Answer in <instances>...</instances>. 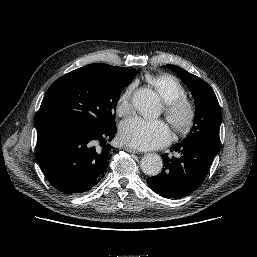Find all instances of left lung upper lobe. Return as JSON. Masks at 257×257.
<instances>
[{"instance_id":"1","label":"left lung upper lobe","mask_w":257,"mask_h":257,"mask_svg":"<svg viewBox=\"0 0 257 257\" xmlns=\"http://www.w3.org/2000/svg\"><path fill=\"white\" fill-rule=\"evenodd\" d=\"M187 85L195 100L194 125L183 142L202 141L219 146L221 110L212 88L201 78L175 66L166 65Z\"/></svg>"}]
</instances>
